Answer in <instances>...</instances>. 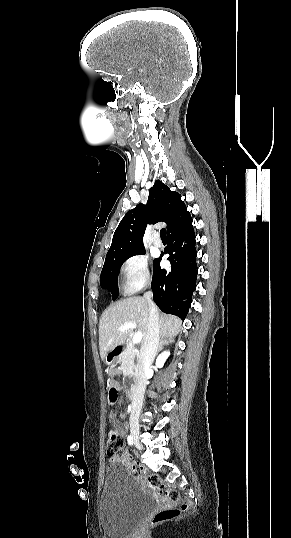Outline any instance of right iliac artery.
Instances as JSON below:
<instances>
[{
    "instance_id": "obj_1",
    "label": "right iliac artery",
    "mask_w": 291,
    "mask_h": 538,
    "mask_svg": "<svg viewBox=\"0 0 291 538\" xmlns=\"http://www.w3.org/2000/svg\"><path fill=\"white\" fill-rule=\"evenodd\" d=\"M127 441H128V444H129L130 446L133 445V438H132L131 435H128V437H127Z\"/></svg>"
}]
</instances>
